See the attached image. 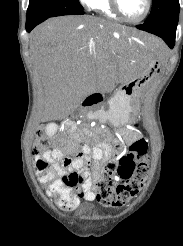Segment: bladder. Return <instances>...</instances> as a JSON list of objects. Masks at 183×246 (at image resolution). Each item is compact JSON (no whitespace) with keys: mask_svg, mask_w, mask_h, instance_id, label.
<instances>
[{"mask_svg":"<svg viewBox=\"0 0 183 246\" xmlns=\"http://www.w3.org/2000/svg\"><path fill=\"white\" fill-rule=\"evenodd\" d=\"M90 214L93 215V216H97V215L100 214V212L98 210H93V211H91Z\"/></svg>","mask_w":183,"mask_h":246,"instance_id":"1","label":"bladder"}]
</instances>
